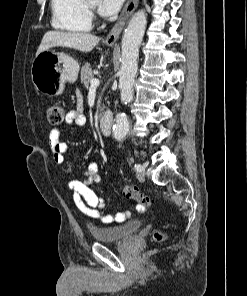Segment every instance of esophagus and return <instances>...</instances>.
Wrapping results in <instances>:
<instances>
[{
  "mask_svg": "<svg viewBox=\"0 0 247 296\" xmlns=\"http://www.w3.org/2000/svg\"><path fill=\"white\" fill-rule=\"evenodd\" d=\"M138 2L139 0H127L118 21L115 23L114 27L106 36L105 42L107 44L112 45L117 41L129 17L132 15L134 10L136 9Z\"/></svg>",
  "mask_w": 247,
  "mask_h": 296,
  "instance_id": "esophagus-1",
  "label": "esophagus"
}]
</instances>
